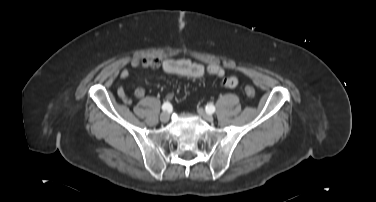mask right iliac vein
<instances>
[{
  "label": "right iliac vein",
  "mask_w": 376,
  "mask_h": 202,
  "mask_svg": "<svg viewBox=\"0 0 376 202\" xmlns=\"http://www.w3.org/2000/svg\"><path fill=\"white\" fill-rule=\"evenodd\" d=\"M168 120H169V113L167 111L162 112L160 115V121L163 123H166L168 122Z\"/></svg>",
  "instance_id": "63e3f726"
}]
</instances>
